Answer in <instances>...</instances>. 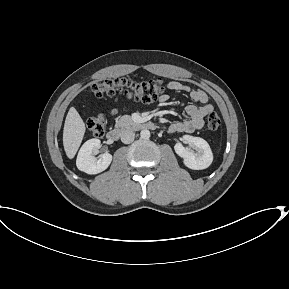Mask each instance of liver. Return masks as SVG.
<instances>
[{
	"label": "liver",
	"mask_w": 289,
	"mask_h": 289,
	"mask_svg": "<svg viewBox=\"0 0 289 289\" xmlns=\"http://www.w3.org/2000/svg\"><path fill=\"white\" fill-rule=\"evenodd\" d=\"M85 123L74 107H71L65 119L63 146L69 159L74 158L85 134Z\"/></svg>",
	"instance_id": "liver-1"
}]
</instances>
